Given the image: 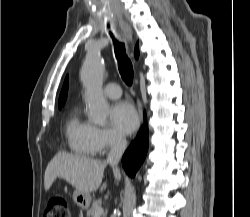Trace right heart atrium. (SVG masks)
I'll list each match as a JSON object with an SVG mask.
<instances>
[{
	"instance_id": "d8ad5b80",
	"label": "right heart atrium",
	"mask_w": 250,
	"mask_h": 217,
	"mask_svg": "<svg viewBox=\"0 0 250 217\" xmlns=\"http://www.w3.org/2000/svg\"><path fill=\"white\" fill-rule=\"evenodd\" d=\"M124 143V137L118 132L109 128L94 127L92 135L94 154L102 155L123 146Z\"/></svg>"
}]
</instances>
